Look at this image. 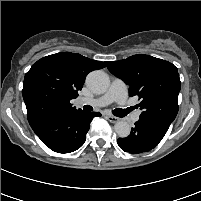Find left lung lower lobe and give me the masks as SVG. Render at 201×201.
<instances>
[{
  "instance_id": "0a47b994",
  "label": "left lung lower lobe",
  "mask_w": 201,
  "mask_h": 201,
  "mask_svg": "<svg viewBox=\"0 0 201 201\" xmlns=\"http://www.w3.org/2000/svg\"><path fill=\"white\" fill-rule=\"evenodd\" d=\"M170 124L163 119H139L128 137L118 139V145L129 153L148 152L159 144Z\"/></svg>"
}]
</instances>
